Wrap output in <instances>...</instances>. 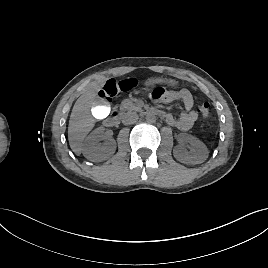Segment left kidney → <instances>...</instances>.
<instances>
[{
  "mask_svg": "<svg viewBox=\"0 0 268 268\" xmlns=\"http://www.w3.org/2000/svg\"><path fill=\"white\" fill-rule=\"evenodd\" d=\"M179 144L174 147V157L185 164H199L208 157V149L198 138L182 133L178 137ZM185 144L190 145V150L185 149Z\"/></svg>",
  "mask_w": 268,
  "mask_h": 268,
  "instance_id": "5707ae66",
  "label": "left kidney"
}]
</instances>
